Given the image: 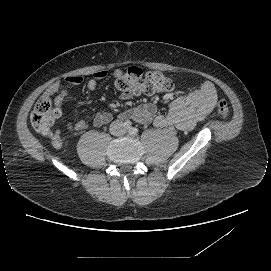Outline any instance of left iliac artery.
<instances>
[{"instance_id": "44dca946", "label": "left iliac artery", "mask_w": 271, "mask_h": 271, "mask_svg": "<svg viewBox=\"0 0 271 271\" xmlns=\"http://www.w3.org/2000/svg\"><path fill=\"white\" fill-rule=\"evenodd\" d=\"M137 133H138V128H136V127H131V128L129 129V134H130V135H137Z\"/></svg>"}]
</instances>
